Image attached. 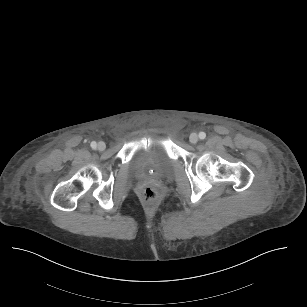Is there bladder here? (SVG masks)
Wrapping results in <instances>:
<instances>
[{
    "instance_id": "bladder-1",
    "label": "bladder",
    "mask_w": 307,
    "mask_h": 307,
    "mask_svg": "<svg viewBox=\"0 0 307 307\" xmlns=\"http://www.w3.org/2000/svg\"><path fill=\"white\" fill-rule=\"evenodd\" d=\"M130 164L137 176H144L150 171L162 176L170 171L173 160L160 144H153L137 150Z\"/></svg>"
}]
</instances>
